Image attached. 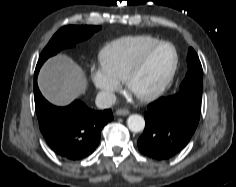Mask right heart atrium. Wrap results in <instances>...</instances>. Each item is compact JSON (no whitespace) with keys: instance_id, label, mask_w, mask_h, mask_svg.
I'll use <instances>...</instances> for the list:
<instances>
[{"instance_id":"d8ad5b80","label":"right heart atrium","mask_w":236,"mask_h":187,"mask_svg":"<svg viewBox=\"0 0 236 187\" xmlns=\"http://www.w3.org/2000/svg\"><path fill=\"white\" fill-rule=\"evenodd\" d=\"M90 77L95 87L100 91L104 100L112 102L120 89V80L107 72L102 66L92 65Z\"/></svg>"}]
</instances>
